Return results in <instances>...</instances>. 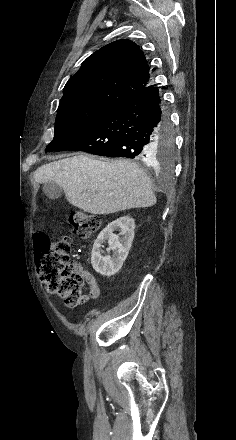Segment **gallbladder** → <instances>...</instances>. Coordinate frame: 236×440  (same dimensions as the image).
I'll use <instances>...</instances> for the list:
<instances>
[{"label":"gallbladder","instance_id":"gallbladder-1","mask_svg":"<svg viewBox=\"0 0 236 440\" xmlns=\"http://www.w3.org/2000/svg\"><path fill=\"white\" fill-rule=\"evenodd\" d=\"M43 192L49 199L56 200L62 196L63 189L54 182H47L43 185Z\"/></svg>","mask_w":236,"mask_h":440}]
</instances>
